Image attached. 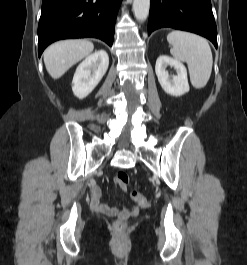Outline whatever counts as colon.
Returning a JSON list of instances; mask_svg holds the SVG:
<instances>
[{
	"label": "colon",
	"instance_id": "obj_1",
	"mask_svg": "<svg viewBox=\"0 0 247 265\" xmlns=\"http://www.w3.org/2000/svg\"><path fill=\"white\" fill-rule=\"evenodd\" d=\"M115 182L120 188L125 189L129 183V175L124 171H120L117 173L115 177ZM130 195H131V198L135 202H137L141 207L147 208L150 206V201L145 196L140 194L139 192L132 191ZM125 227H126V223L123 220H117L114 223V228L118 232H122L125 229Z\"/></svg>",
	"mask_w": 247,
	"mask_h": 265
}]
</instances>
